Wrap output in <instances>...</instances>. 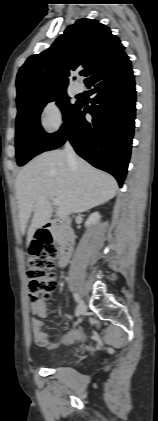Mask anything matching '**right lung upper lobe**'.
Masks as SVG:
<instances>
[{
	"mask_svg": "<svg viewBox=\"0 0 158 421\" xmlns=\"http://www.w3.org/2000/svg\"><path fill=\"white\" fill-rule=\"evenodd\" d=\"M119 38L98 20L79 19L56 39L53 45L30 56L20 68L17 104L38 95L66 90L68 77L76 69L85 83L105 64L124 53Z\"/></svg>",
	"mask_w": 158,
	"mask_h": 421,
	"instance_id": "obj_1",
	"label": "right lung upper lobe"
}]
</instances>
